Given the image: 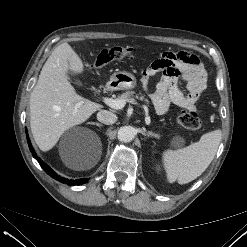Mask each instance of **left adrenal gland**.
<instances>
[{
    "instance_id": "1",
    "label": "left adrenal gland",
    "mask_w": 247,
    "mask_h": 247,
    "mask_svg": "<svg viewBox=\"0 0 247 247\" xmlns=\"http://www.w3.org/2000/svg\"><path fill=\"white\" fill-rule=\"evenodd\" d=\"M145 135L147 136V137H155V138H159V135L158 134H156V133H154V132H152V131H145Z\"/></svg>"
}]
</instances>
